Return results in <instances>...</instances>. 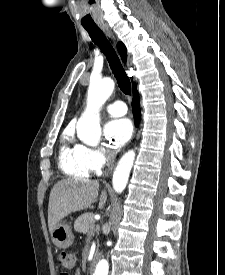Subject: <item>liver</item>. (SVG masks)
<instances>
[{"label": "liver", "instance_id": "liver-1", "mask_svg": "<svg viewBox=\"0 0 225 275\" xmlns=\"http://www.w3.org/2000/svg\"><path fill=\"white\" fill-rule=\"evenodd\" d=\"M99 182L81 178H69L57 182L50 192L48 204V227L53 231L56 225L73 212L85 210L93 204L98 196ZM107 200L106 192L100 196L99 207Z\"/></svg>", "mask_w": 225, "mask_h": 275}]
</instances>
